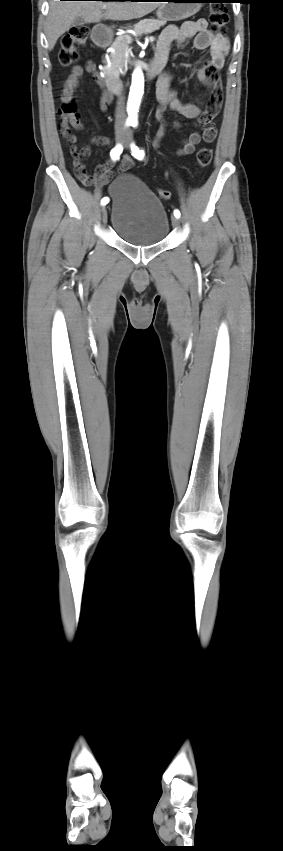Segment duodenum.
I'll return each instance as SVG.
<instances>
[{"mask_svg":"<svg viewBox=\"0 0 283 851\" xmlns=\"http://www.w3.org/2000/svg\"><path fill=\"white\" fill-rule=\"evenodd\" d=\"M94 41L100 47H106L109 45L111 41L110 33L105 29H97L94 33ZM164 67V63L160 60L153 59L150 70L149 77H155ZM109 87L106 90H110L112 94H119L121 91V81L116 78H109Z\"/></svg>","mask_w":283,"mask_h":851,"instance_id":"duodenum-1","label":"duodenum"}]
</instances>
